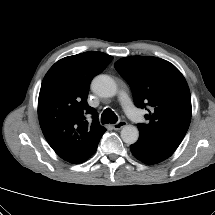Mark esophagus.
Here are the masks:
<instances>
[{
    "instance_id": "obj_1",
    "label": "esophagus",
    "mask_w": 215,
    "mask_h": 215,
    "mask_svg": "<svg viewBox=\"0 0 215 215\" xmlns=\"http://www.w3.org/2000/svg\"><path fill=\"white\" fill-rule=\"evenodd\" d=\"M126 125H127V122L124 121V120H121V121H119V122L113 124V128H114L115 130H120V129H122L123 127H125Z\"/></svg>"
}]
</instances>
